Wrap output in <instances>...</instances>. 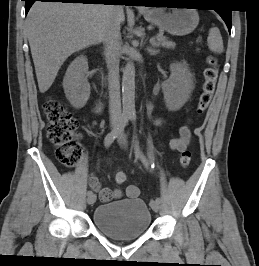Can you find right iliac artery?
Returning a JSON list of instances; mask_svg holds the SVG:
<instances>
[{
  "label": "right iliac artery",
  "mask_w": 259,
  "mask_h": 266,
  "mask_svg": "<svg viewBox=\"0 0 259 266\" xmlns=\"http://www.w3.org/2000/svg\"><path fill=\"white\" fill-rule=\"evenodd\" d=\"M129 119H130V116L122 115L121 120L119 124L117 125V127L106 135L104 139V144L106 147H109L113 143V141L116 139V137L121 133V131H123V129L128 124ZM92 194H93L92 191H88L87 193L88 196Z\"/></svg>",
  "instance_id": "1"
}]
</instances>
